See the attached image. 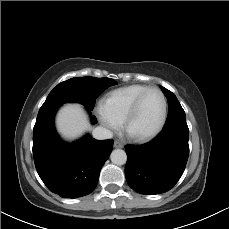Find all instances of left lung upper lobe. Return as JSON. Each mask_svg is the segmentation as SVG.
Listing matches in <instances>:
<instances>
[{"label": "left lung upper lobe", "mask_w": 229, "mask_h": 229, "mask_svg": "<svg viewBox=\"0 0 229 229\" xmlns=\"http://www.w3.org/2000/svg\"><path fill=\"white\" fill-rule=\"evenodd\" d=\"M161 90L163 91L164 95L167 97L168 109H169L165 127L170 126L177 122H186L185 112L181 107L176 96L171 91H169L164 87H161Z\"/></svg>", "instance_id": "left-lung-upper-lobe-1"}]
</instances>
